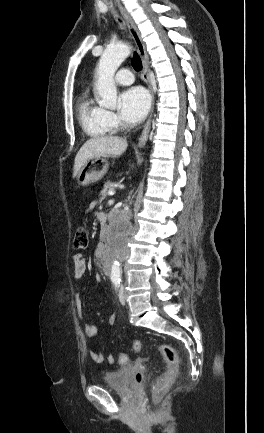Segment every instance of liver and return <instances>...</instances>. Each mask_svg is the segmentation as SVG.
<instances>
[{"label": "liver", "instance_id": "obj_1", "mask_svg": "<svg viewBox=\"0 0 264 433\" xmlns=\"http://www.w3.org/2000/svg\"><path fill=\"white\" fill-rule=\"evenodd\" d=\"M126 139L116 136L94 137L84 143L75 157L73 177L93 157L120 156L127 149Z\"/></svg>", "mask_w": 264, "mask_h": 433}]
</instances>
